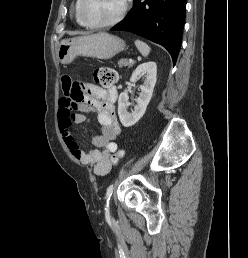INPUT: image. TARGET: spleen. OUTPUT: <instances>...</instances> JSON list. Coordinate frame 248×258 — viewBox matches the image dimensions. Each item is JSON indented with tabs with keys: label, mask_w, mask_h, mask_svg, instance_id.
Listing matches in <instances>:
<instances>
[{
	"label": "spleen",
	"mask_w": 248,
	"mask_h": 258,
	"mask_svg": "<svg viewBox=\"0 0 248 258\" xmlns=\"http://www.w3.org/2000/svg\"><path fill=\"white\" fill-rule=\"evenodd\" d=\"M135 45L143 57H147L150 53V47L143 41L136 40Z\"/></svg>",
	"instance_id": "obj_1"
}]
</instances>
